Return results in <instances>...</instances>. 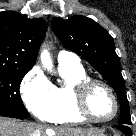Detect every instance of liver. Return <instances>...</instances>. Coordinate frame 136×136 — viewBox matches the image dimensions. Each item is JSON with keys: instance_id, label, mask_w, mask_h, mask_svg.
I'll return each mask as SVG.
<instances>
[{"instance_id": "6515ba94", "label": "liver", "mask_w": 136, "mask_h": 136, "mask_svg": "<svg viewBox=\"0 0 136 136\" xmlns=\"http://www.w3.org/2000/svg\"><path fill=\"white\" fill-rule=\"evenodd\" d=\"M105 136L100 129H83L61 127L56 130L44 125L19 122L14 119L0 117V136Z\"/></svg>"}]
</instances>
